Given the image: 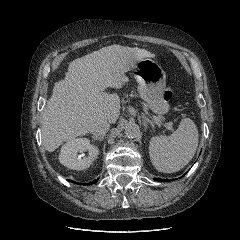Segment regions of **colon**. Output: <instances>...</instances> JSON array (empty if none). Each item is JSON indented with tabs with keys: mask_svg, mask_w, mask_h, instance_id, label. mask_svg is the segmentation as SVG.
I'll return each mask as SVG.
<instances>
[{
	"mask_svg": "<svg viewBox=\"0 0 240 240\" xmlns=\"http://www.w3.org/2000/svg\"><path fill=\"white\" fill-rule=\"evenodd\" d=\"M164 96H165V98H167V99H169V98L171 97V89H170V88H168V89L165 90Z\"/></svg>",
	"mask_w": 240,
	"mask_h": 240,
	"instance_id": "5ec220e1",
	"label": "colon"
}]
</instances>
